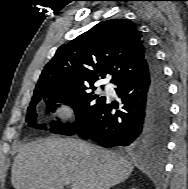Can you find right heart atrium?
Masks as SVG:
<instances>
[{
  "label": "right heart atrium",
  "mask_w": 188,
  "mask_h": 189,
  "mask_svg": "<svg viewBox=\"0 0 188 189\" xmlns=\"http://www.w3.org/2000/svg\"><path fill=\"white\" fill-rule=\"evenodd\" d=\"M62 112L67 114L68 116H71L73 114L72 109L70 107H67V106L62 108Z\"/></svg>",
  "instance_id": "1"
}]
</instances>
